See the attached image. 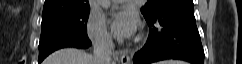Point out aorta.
<instances>
[{
	"instance_id": "obj_1",
	"label": "aorta",
	"mask_w": 242,
	"mask_h": 64,
	"mask_svg": "<svg viewBox=\"0 0 242 64\" xmlns=\"http://www.w3.org/2000/svg\"><path fill=\"white\" fill-rule=\"evenodd\" d=\"M102 8L108 9L110 7V0H98Z\"/></svg>"
}]
</instances>
